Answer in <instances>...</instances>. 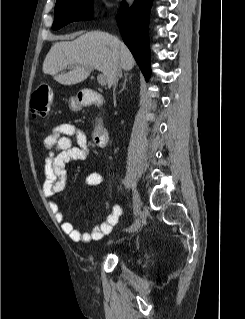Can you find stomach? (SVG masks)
<instances>
[{"mask_svg": "<svg viewBox=\"0 0 245 319\" xmlns=\"http://www.w3.org/2000/svg\"><path fill=\"white\" fill-rule=\"evenodd\" d=\"M68 105L72 111H79L83 106L78 97H71L68 101Z\"/></svg>", "mask_w": 245, "mask_h": 319, "instance_id": "0dacf381", "label": "stomach"}]
</instances>
